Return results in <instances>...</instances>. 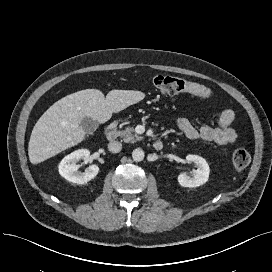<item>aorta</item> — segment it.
<instances>
[{
	"label": "aorta",
	"mask_w": 272,
	"mask_h": 272,
	"mask_svg": "<svg viewBox=\"0 0 272 272\" xmlns=\"http://www.w3.org/2000/svg\"><path fill=\"white\" fill-rule=\"evenodd\" d=\"M132 158L136 162H140L144 159V151L140 148H136L132 152Z\"/></svg>",
	"instance_id": "obj_1"
}]
</instances>
